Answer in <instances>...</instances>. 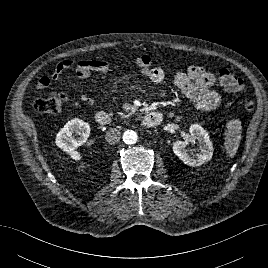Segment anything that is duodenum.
I'll return each mask as SVG.
<instances>
[{"mask_svg": "<svg viewBox=\"0 0 268 268\" xmlns=\"http://www.w3.org/2000/svg\"><path fill=\"white\" fill-rule=\"evenodd\" d=\"M95 120L98 124L103 126L110 125L114 122V118L105 112L97 113ZM161 121H162V115L160 113L150 112L145 115L141 124L143 127L150 128L159 125Z\"/></svg>", "mask_w": 268, "mask_h": 268, "instance_id": "obj_1", "label": "duodenum"}]
</instances>
